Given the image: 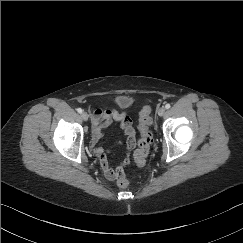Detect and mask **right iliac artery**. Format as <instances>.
I'll return each instance as SVG.
<instances>
[{"label": "right iliac artery", "mask_w": 243, "mask_h": 243, "mask_svg": "<svg viewBox=\"0 0 243 243\" xmlns=\"http://www.w3.org/2000/svg\"><path fill=\"white\" fill-rule=\"evenodd\" d=\"M77 112L81 114L82 113V109L81 108H78L77 109Z\"/></svg>", "instance_id": "1"}]
</instances>
